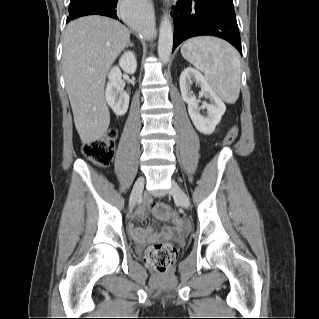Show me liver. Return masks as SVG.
Returning <instances> with one entry per match:
<instances>
[{
    "label": "liver",
    "mask_w": 319,
    "mask_h": 319,
    "mask_svg": "<svg viewBox=\"0 0 319 319\" xmlns=\"http://www.w3.org/2000/svg\"><path fill=\"white\" fill-rule=\"evenodd\" d=\"M129 42V30L104 16L81 17L65 29L63 75L83 144L100 139L109 127L110 112L104 97L106 75Z\"/></svg>",
    "instance_id": "obj_1"
}]
</instances>
